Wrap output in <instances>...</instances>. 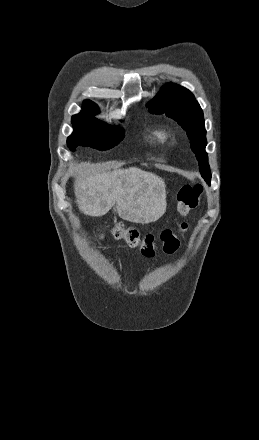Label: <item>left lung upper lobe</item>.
<instances>
[{"label":"left lung upper lobe","mask_w":259,"mask_h":440,"mask_svg":"<svg viewBox=\"0 0 259 440\" xmlns=\"http://www.w3.org/2000/svg\"><path fill=\"white\" fill-rule=\"evenodd\" d=\"M148 108L157 114L166 112L169 117L183 127L199 162L200 173L204 180L210 184L211 173L205 152L207 141L204 117L194 95L184 87L168 83L148 104Z\"/></svg>","instance_id":"obj_1"}]
</instances>
